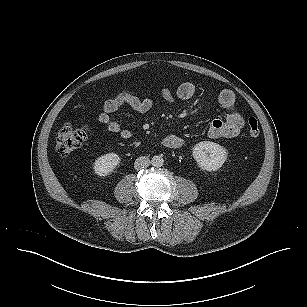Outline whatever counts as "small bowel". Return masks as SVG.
Masks as SVG:
<instances>
[{
  "mask_svg": "<svg viewBox=\"0 0 307 307\" xmlns=\"http://www.w3.org/2000/svg\"><path fill=\"white\" fill-rule=\"evenodd\" d=\"M195 85L191 82L182 83L176 93H172L169 89L162 90V96L170 103L176 99L189 100L195 94ZM219 105L225 111L224 119H214L208 128V135L211 138H234L239 135L244 125V119L238 112L235 105V95L230 90H223L218 95ZM122 106H128L138 113H147L153 107L151 98H140L134 90H123L113 98L104 102L102 111L98 115L100 124L114 134H117L123 140H129L132 133L128 129H124L111 118V113ZM162 145L167 148L177 149L183 145V139L176 135H167L162 140Z\"/></svg>",
  "mask_w": 307,
  "mask_h": 307,
  "instance_id": "small-bowel-1",
  "label": "small bowel"
}]
</instances>
